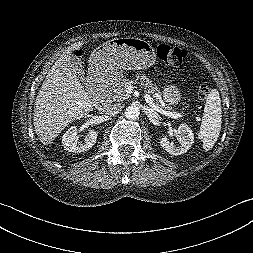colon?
I'll use <instances>...</instances> for the list:
<instances>
[{"mask_svg": "<svg viewBox=\"0 0 253 253\" xmlns=\"http://www.w3.org/2000/svg\"><path fill=\"white\" fill-rule=\"evenodd\" d=\"M78 56L81 55V52L76 53ZM186 51L179 47H172L166 44H161L157 47V56L165 64L169 66H178L182 63ZM211 89L207 84H201L198 89V95L200 98H206Z\"/></svg>", "mask_w": 253, "mask_h": 253, "instance_id": "obj_1", "label": "colon"}]
</instances>
